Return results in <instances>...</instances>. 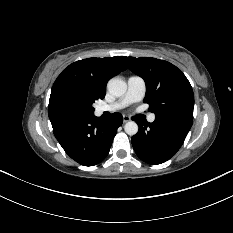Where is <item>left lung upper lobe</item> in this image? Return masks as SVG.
Masks as SVG:
<instances>
[{
  "label": "left lung upper lobe",
  "instance_id": "5c2ea615",
  "mask_svg": "<svg viewBox=\"0 0 233 233\" xmlns=\"http://www.w3.org/2000/svg\"><path fill=\"white\" fill-rule=\"evenodd\" d=\"M128 68L146 83L144 102L156 117L192 126L194 94L183 72L170 62L151 57H122Z\"/></svg>",
  "mask_w": 233,
  "mask_h": 233
}]
</instances>
